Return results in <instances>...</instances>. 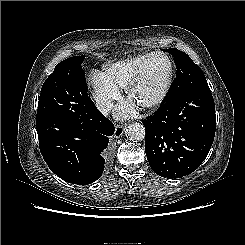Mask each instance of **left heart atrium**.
I'll return each instance as SVG.
<instances>
[{"mask_svg":"<svg viewBox=\"0 0 245 245\" xmlns=\"http://www.w3.org/2000/svg\"><path fill=\"white\" fill-rule=\"evenodd\" d=\"M135 112L134 105L128 104L124 105L118 109L117 115L121 118L129 117Z\"/></svg>","mask_w":245,"mask_h":245,"instance_id":"39dd6f15","label":"left heart atrium"}]
</instances>
